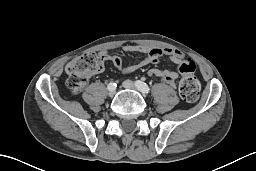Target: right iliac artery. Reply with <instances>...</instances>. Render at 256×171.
Here are the masks:
<instances>
[{
  "mask_svg": "<svg viewBox=\"0 0 256 171\" xmlns=\"http://www.w3.org/2000/svg\"><path fill=\"white\" fill-rule=\"evenodd\" d=\"M116 86H117V85H116V83L111 82V83H109V84H108V86H107V87H108V90H110V89H115V88H116Z\"/></svg>",
  "mask_w": 256,
  "mask_h": 171,
  "instance_id": "1",
  "label": "right iliac artery"
}]
</instances>
